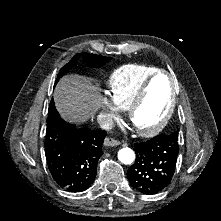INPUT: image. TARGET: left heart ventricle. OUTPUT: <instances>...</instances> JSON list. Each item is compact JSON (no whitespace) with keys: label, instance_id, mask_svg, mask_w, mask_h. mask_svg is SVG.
Masks as SVG:
<instances>
[{"label":"left heart ventricle","instance_id":"b2bd125f","mask_svg":"<svg viewBox=\"0 0 221 221\" xmlns=\"http://www.w3.org/2000/svg\"><path fill=\"white\" fill-rule=\"evenodd\" d=\"M171 100V82L168 76L160 75L152 83L147 97L134 116L139 128L156 126L165 116Z\"/></svg>","mask_w":221,"mask_h":221}]
</instances>
